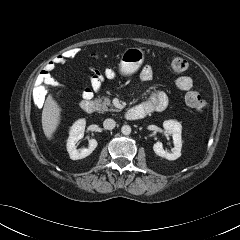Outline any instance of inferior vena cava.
<instances>
[{
  "label": "inferior vena cava",
  "mask_w": 240,
  "mask_h": 240,
  "mask_svg": "<svg viewBox=\"0 0 240 240\" xmlns=\"http://www.w3.org/2000/svg\"><path fill=\"white\" fill-rule=\"evenodd\" d=\"M116 125V122L113 119H105L103 126L107 130H112Z\"/></svg>",
  "instance_id": "602c4592"
}]
</instances>
